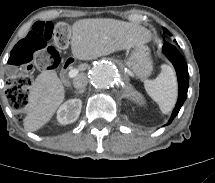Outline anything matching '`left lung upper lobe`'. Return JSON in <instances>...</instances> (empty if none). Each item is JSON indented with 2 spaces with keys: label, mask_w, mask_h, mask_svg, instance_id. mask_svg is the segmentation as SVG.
<instances>
[{
  "label": "left lung upper lobe",
  "mask_w": 215,
  "mask_h": 183,
  "mask_svg": "<svg viewBox=\"0 0 215 183\" xmlns=\"http://www.w3.org/2000/svg\"><path fill=\"white\" fill-rule=\"evenodd\" d=\"M164 32H166V33H168L170 35L169 31L167 29H165V28H164Z\"/></svg>",
  "instance_id": "5c2ea615"
}]
</instances>
